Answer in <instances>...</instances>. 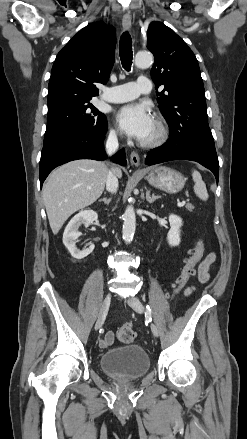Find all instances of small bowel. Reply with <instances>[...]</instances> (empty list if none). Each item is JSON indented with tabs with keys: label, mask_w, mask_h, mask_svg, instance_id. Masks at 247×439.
I'll return each mask as SVG.
<instances>
[{
	"label": "small bowel",
	"mask_w": 247,
	"mask_h": 439,
	"mask_svg": "<svg viewBox=\"0 0 247 439\" xmlns=\"http://www.w3.org/2000/svg\"><path fill=\"white\" fill-rule=\"evenodd\" d=\"M216 261V254L209 253L198 266V278L201 282H207L210 278L211 271ZM192 289H187L186 293H190ZM114 341V335L112 332H107L105 336L99 341V345L102 348H106Z\"/></svg>",
	"instance_id": "obj_1"
}]
</instances>
